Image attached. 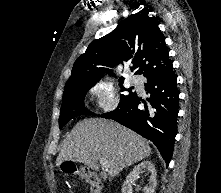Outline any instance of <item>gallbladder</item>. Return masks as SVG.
<instances>
[{"label":"gallbladder","instance_id":"gallbladder-1","mask_svg":"<svg viewBox=\"0 0 221 193\" xmlns=\"http://www.w3.org/2000/svg\"><path fill=\"white\" fill-rule=\"evenodd\" d=\"M101 176H102V177H105L106 175H105V174H101Z\"/></svg>","mask_w":221,"mask_h":193}]
</instances>
